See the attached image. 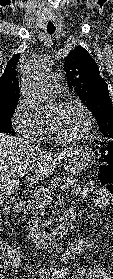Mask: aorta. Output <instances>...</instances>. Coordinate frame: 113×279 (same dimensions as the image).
I'll return each instance as SVG.
<instances>
[{"mask_svg":"<svg viewBox=\"0 0 113 279\" xmlns=\"http://www.w3.org/2000/svg\"><path fill=\"white\" fill-rule=\"evenodd\" d=\"M51 67V62L47 61L40 65V69L47 71ZM22 93L25 97L32 102V108L37 113H47L49 109L48 100L45 97H38L36 93L32 89L22 88Z\"/></svg>","mask_w":113,"mask_h":279,"instance_id":"obj_1","label":"aorta"}]
</instances>
